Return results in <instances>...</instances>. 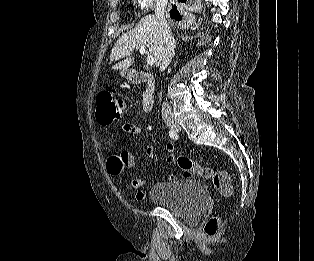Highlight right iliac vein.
Listing matches in <instances>:
<instances>
[{"instance_id": "obj_1", "label": "right iliac vein", "mask_w": 314, "mask_h": 261, "mask_svg": "<svg viewBox=\"0 0 314 261\" xmlns=\"http://www.w3.org/2000/svg\"><path fill=\"white\" fill-rule=\"evenodd\" d=\"M168 126H169L172 130H174V131H179V130H180V125H179V123L176 122V121H171V122H169V123H168Z\"/></svg>"}]
</instances>
